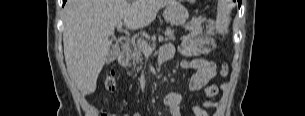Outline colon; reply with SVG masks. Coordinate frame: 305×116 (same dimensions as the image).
Segmentation results:
<instances>
[{
	"label": "colon",
	"mask_w": 305,
	"mask_h": 116,
	"mask_svg": "<svg viewBox=\"0 0 305 116\" xmlns=\"http://www.w3.org/2000/svg\"><path fill=\"white\" fill-rule=\"evenodd\" d=\"M217 7L222 15H229L233 9V4L231 0H218ZM227 67H223L221 70L222 75H227ZM105 88L109 92H113L116 89V80L113 73H110L105 79ZM101 116H118L114 113H104Z\"/></svg>",
	"instance_id": "colon-1"
}]
</instances>
